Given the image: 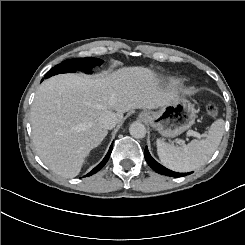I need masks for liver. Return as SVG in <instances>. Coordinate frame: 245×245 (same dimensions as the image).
Returning <instances> with one entry per match:
<instances>
[{"label":"liver","mask_w":245,"mask_h":245,"mask_svg":"<svg viewBox=\"0 0 245 245\" xmlns=\"http://www.w3.org/2000/svg\"><path fill=\"white\" fill-rule=\"evenodd\" d=\"M157 85L154 72L144 67H123L97 77L59 74L45 80L30 113L40 159L58 175L77 176L85 157L108 134L98 123L100 115L115 111L120 122L129 110L167 105L176 93Z\"/></svg>","instance_id":"obj_1"}]
</instances>
